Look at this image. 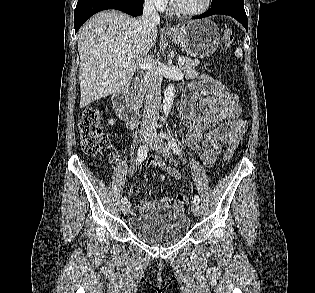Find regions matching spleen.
<instances>
[{
    "instance_id": "obj_1",
    "label": "spleen",
    "mask_w": 315,
    "mask_h": 293,
    "mask_svg": "<svg viewBox=\"0 0 315 293\" xmlns=\"http://www.w3.org/2000/svg\"><path fill=\"white\" fill-rule=\"evenodd\" d=\"M242 49L241 48H237L236 50H235V56L236 57H242Z\"/></svg>"
}]
</instances>
